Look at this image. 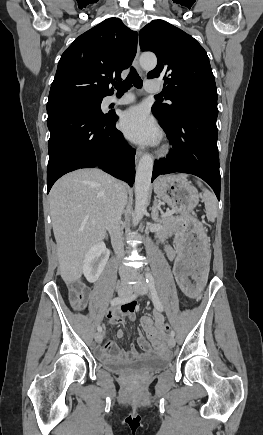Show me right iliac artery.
Wrapping results in <instances>:
<instances>
[{
	"mask_svg": "<svg viewBox=\"0 0 263 435\" xmlns=\"http://www.w3.org/2000/svg\"><path fill=\"white\" fill-rule=\"evenodd\" d=\"M135 298H136V295H132V296L127 297V298L116 297V298H114L111 301V305L114 306V305H118V304H121V303H127L129 301L134 300ZM97 330H98V332H101L102 331V327L98 326Z\"/></svg>",
	"mask_w": 263,
	"mask_h": 435,
	"instance_id": "obj_1",
	"label": "right iliac artery"
}]
</instances>
